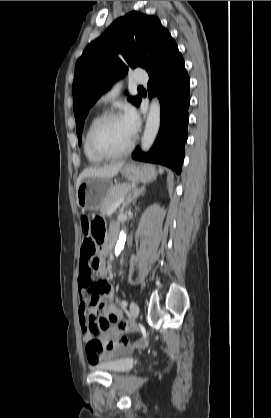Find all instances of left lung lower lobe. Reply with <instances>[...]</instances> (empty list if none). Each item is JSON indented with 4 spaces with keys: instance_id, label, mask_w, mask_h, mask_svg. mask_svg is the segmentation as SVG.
<instances>
[{
    "instance_id": "obj_1",
    "label": "left lung lower lobe",
    "mask_w": 271,
    "mask_h": 418,
    "mask_svg": "<svg viewBox=\"0 0 271 418\" xmlns=\"http://www.w3.org/2000/svg\"><path fill=\"white\" fill-rule=\"evenodd\" d=\"M150 98L158 94L161 104V126L156 141L148 153L138 147L135 160L158 163L180 173L187 140L190 80L184 60L172 37L166 42L157 63L147 71ZM141 99L138 103L140 104Z\"/></svg>"
}]
</instances>
